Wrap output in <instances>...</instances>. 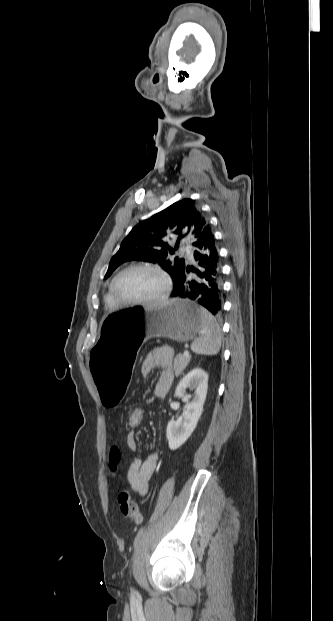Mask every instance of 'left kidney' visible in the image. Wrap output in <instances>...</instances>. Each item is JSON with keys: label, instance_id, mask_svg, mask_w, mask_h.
Returning a JSON list of instances; mask_svg holds the SVG:
<instances>
[{"label": "left kidney", "instance_id": "obj_1", "mask_svg": "<svg viewBox=\"0 0 333 621\" xmlns=\"http://www.w3.org/2000/svg\"><path fill=\"white\" fill-rule=\"evenodd\" d=\"M194 391V398L189 401L186 390ZM208 389V375L201 368L189 372L178 384L175 395L186 403V408L177 421L168 422L166 435L171 450L178 449L191 436L201 417Z\"/></svg>", "mask_w": 333, "mask_h": 621}]
</instances>
